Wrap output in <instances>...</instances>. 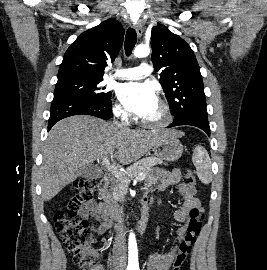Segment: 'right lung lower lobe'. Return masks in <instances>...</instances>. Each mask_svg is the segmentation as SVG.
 <instances>
[{"label":"right lung lower lobe","instance_id":"98d812e1","mask_svg":"<svg viewBox=\"0 0 267 270\" xmlns=\"http://www.w3.org/2000/svg\"><path fill=\"white\" fill-rule=\"evenodd\" d=\"M79 114L92 115L109 120L112 116L111 100L83 101L73 98H54L50 110L48 131L59 120Z\"/></svg>","mask_w":267,"mask_h":270}]
</instances>
